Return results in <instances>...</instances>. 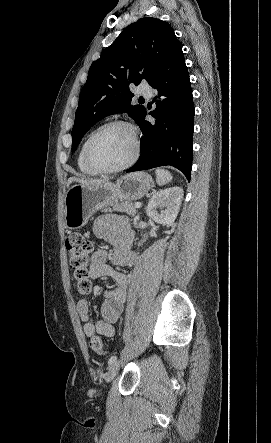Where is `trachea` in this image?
I'll list each match as a JSON object with an SVG mask.
<instances>
[{"mask_svg": "<svg viewBox=\"0 0 271 443\" xmlns=\"http://www.w3.org/2000/svg\"><path fill=\"white\" fill-rule=\"evenodd\" d=\"M141 101H145L144 98H140V99H139V102H141Z\"/></svg>", "mask_w": 271, "mask_h": 443, "instance_id": "obj_1", "label": "trachea"}]
</instances>
